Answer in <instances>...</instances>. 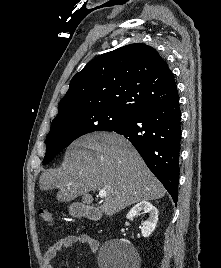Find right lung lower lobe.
<instances>
[{"label":"right lung lower lobe","instance_id":"1","mask_svg":"<svg viewBox=\"0 0 221 268\" xmlns=\"http://www.w3.org/2000/svg\"><path fill=\"white\" fill-rule=\"evenodd\" d=\"M179 98L145 109L110 131L123 135L137 149L175 204L178 199L181 140Z\"/></svg>","mask_w":221,"mask_h":268}]
</instances>
